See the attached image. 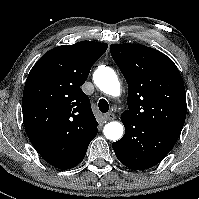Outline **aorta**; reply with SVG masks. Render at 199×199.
I'll return each mask as SVG.
<instances>
[{
  "instance_id": "obj_1",
  "label": "aorta",
  "mask_w": 199,
  "mask_h": 199,
  "mask_svg": "<svg viewBox=\"0 0 199 199\" xmlns=\"http://www.w3.org/2000/svg\"><path fill=\"white\" fill-rule=\"evenodd\" d=\"M94 83L104 93L111 96H119L120 82L113 69L100 67L94 73ZM104 135L107 139L117 141L123 136L124 127L117 121L109 122L104 127Z\"/></svg>"
}]
</instances>
